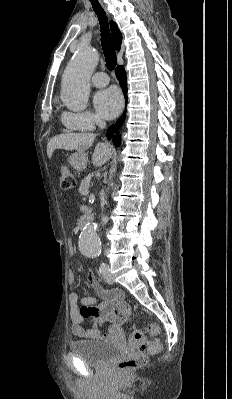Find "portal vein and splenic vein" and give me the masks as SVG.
<instances>
[{
    "instance_id": "portal-vein-and-splenic-vein-1",
    "label": "portal vein and splenic vein",
    "mask_w": 232,
    "mask_h": 399,
    "mask_svg": "<svg viewBox=\"0 0 232 399\" xmlns=\"http://www.w3.org/2000/svg\"><path fill=\"white\" fill-rule=\"evenodd\" d=\"M87 194H89L88 190H86V192H84L83 196H87Z\"/></svg>"
}]
</instances>
